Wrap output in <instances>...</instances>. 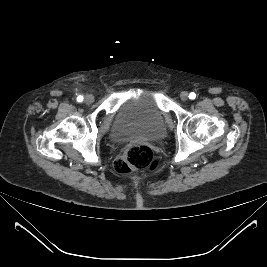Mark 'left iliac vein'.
I'll list each match as a JSON object with an SVG mask.
<instances>
[{
	"instance_id": "1",
	"label": "left iliac vein",
	"mask_w": 267,
	"mask_h": 267,
	"mask_svg": "<svg viewBox=\"0 0 267 267\" xmlns=\"http://www.w3.org/2000/svg\"><path fill=\"white\" fill-rule=\"evenodd\" d=\"M180 98H181L182 101H187L188 98H189V94L187 92L183 91L180 94Z\"/></svg>"
}]
</instances>
